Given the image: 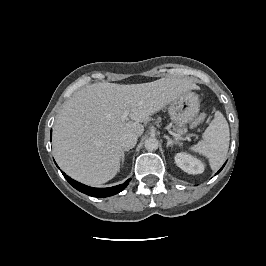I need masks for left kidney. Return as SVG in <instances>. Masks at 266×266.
Masks as SVG:
<instances>
[{
    "mask_svg": "<svg viewBox=\"0 0 266 266\" xmlns=\"http://www.w3.org/2000/svg\"><path fill=\"white\" fill-rule=\"evenodd\" d=\"M174 159L176 165L188 174H201L204 171L203 162L187 153H177Z\"/></svg>",
    "mask_w": 266,
    "mask_h": 266,
    "instance_id": "obj_1",
    "label": "left kidney"
}]
</instances>
